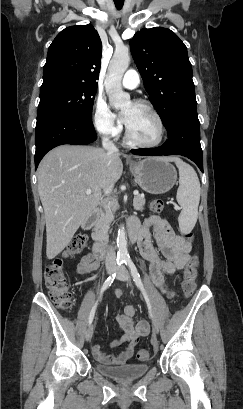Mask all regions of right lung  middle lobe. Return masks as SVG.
<instances>
[{
    "label": "right lung middle lobe",
    "mask_w": 243,
    "mask_h": 409,
    "mask_svg": "<svg viewBox=\"0 0 243 409\" xmlns=\"http://www.w3.org/2000/svg\"><path fill=\"white\" fill-rule=\"evenodd\" d=\"M97 88L65 80H43L37 121L51 115H62L92 121V106Z\"/></svg>",
    "instance_id": "dd1d6c3e"
}]
</instances>
